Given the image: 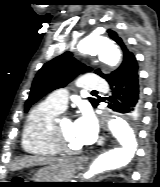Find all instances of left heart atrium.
Wrapping results in <instances>:
<instances>
[{
    "mask_svg": "<svg viewBox=\"0 0 160 187\" xmlns=\"http://www.w3.org/2000/svg\"><path fill=\"white\" fill-rule=\"evenodd\" d=\"M73 129L82 146L93 143L97 137V124L89 112H84L73 122Z\"/></svg>",
    "mask_w": 160,
    "mask_h": 187,
    "instance_id": "obj_1",
    "label": "left heart atrium"
}]
</instances>
